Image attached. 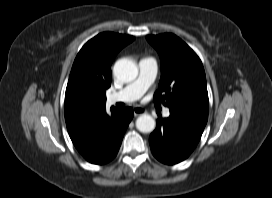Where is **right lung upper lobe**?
I'll list each match as a JSON object with an SVG mask.
<instances>
[{
	"label": "right lung upper lobe",
	"instance_id": "1",
	"mask_svg": "<svg viewBox=\"0 0 272 198\" xmlns=\"http://www.w3.org/2000/svg\"><path fill=\"white\" fill-rule=\"evenodd\" d=\"M135 37L100 33L79 51L65 93V120L71 131L105 109L106 90L111 85V64L117 53Z\"/></svg>",
	"mask_w": 272,
	"mask_h": 198
}]
</instances>
